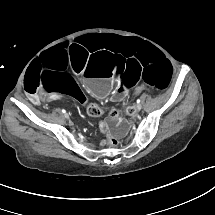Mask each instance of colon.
<instances>
[{
	"mask_svg": "<svg viewBox=\"0 0 215 215\" xmlns=\"http://www.w3.org/2000/svg\"><path fill=\"white\" fill-rule=\"evenodd\" d=\"M124 112H125L124 110L114 108L109 111V116L112 118H116L124 114ZM86 113L91 117H96L100 116L103 112L97 104L91 103L86 107Z\"/></svg>",
	"mask_w": 215,
	"mask_h": 215,
	"instance_id": "5ec220e1",
	"label": "colon"
}]
</instances>
